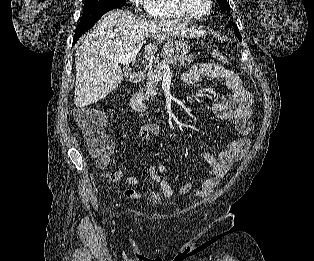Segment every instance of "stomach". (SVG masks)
Listing matches in <instances>:
<instances>
[{"mask_svg": "<svg viewBox=\"0 0 314 261\" xmlns=\"http://www.w3.org/2000/svg\"><path fill=\"white\" fill-rule=\"evenodd\" d=\"M167 45L169 46V51L175 54L185 55L190 51L189 43L181 38V36L172 37L167 42ZM162 55H164V53H162Z\"/></svg>", "mask_w": 314, "mask_h": 261, "instance_id": "stomach-1", "label": "stomach"}]
</instances>
